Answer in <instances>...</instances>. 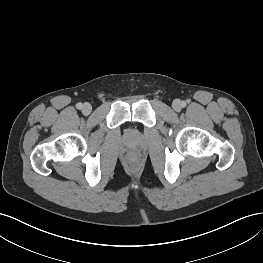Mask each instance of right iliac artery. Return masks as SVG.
<instances>
[{
    "label": "right iliac artery",
    "mask_w": 263,
    "mask_h": 263,
    "mask_svg": "<svg viewBox=\"0 0 263 263\" xmlns=\"http://www.w3.org/2000/svg\"><path fill=\"white\" fill-rule=\"evenodd\" d=\"M82 103H78L77 105H76V107H77V109H82Z\"/></svg>",
    "instance_id": "right-iliac-artery-1"
}]
</instances>
